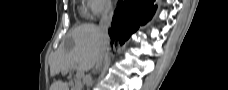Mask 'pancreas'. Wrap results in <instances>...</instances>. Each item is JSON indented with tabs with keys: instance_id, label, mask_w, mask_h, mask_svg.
Here are the masks:
<instances>
[{
	"instance_id": "1",
	"label": "pancreas",
	"mask_w": 228,
	"mask_h": 90,
	"mask_svg": "<svg viewBox=\"0 0 228 90\" xmlns=\"http://www.w3.org/2000/svg\"><path fill=\"white\" fill-rule=\"evenodd\" d=\"M80 87H81V83L78 82L74 88V90H80Z\"/></svg>"
}]
</instances>
